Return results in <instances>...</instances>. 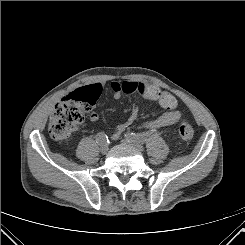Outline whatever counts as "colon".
I'll return each instance as SVG.
<instances>
[{"label":"colon","instance_id":"5ec220e1","mask_svg":"<svg viewBox=\"0 0 245 245\" xmlns=\"http://www.w3.org/2000/svg\"><path fill=\"white\" fill-rule=\"evenodd\" d=\"M100 92V85L93 84L74 90L58 102L50 117V136L56 141L67 139L82 124L85 112L95 104ZM178 131L182 139L189 140L194 135V126L182 120Z\"/></svg>","mask_w":245,"mask_h":245}]
</instances>
